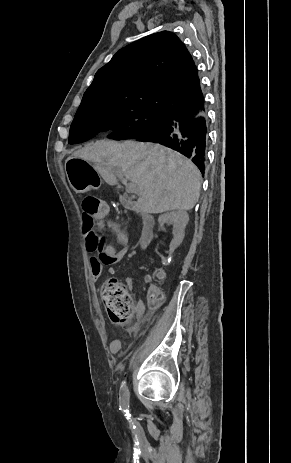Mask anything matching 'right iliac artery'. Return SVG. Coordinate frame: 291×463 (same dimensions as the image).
Masks as SVG:
<instances>
[{
	"label": "right iliac artery",
	"instance_id": "1",
	"mask_svg": "<svg viewBox=\"0 0 291 463\" xmlns=\"http://www.w3.org/2000/svg\"><path fill=\"white\" fill-rule=\"evenodd\" d=\"M120 410H122L127 416V419H129V391L125 381L122 382L120 387Z\"/></svg>",
	"mask_w": 291,
	"mask_h": 463
}]
</instances>
